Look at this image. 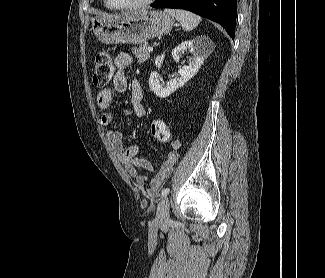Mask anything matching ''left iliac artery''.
<instances>
[{
  "label": "left iliac artery",
  "mask_w": 325,
  "mask_h": 278,
  "mask_svg": "<svg viewBox=\"0 0 325 278\" xmlns=\"http://www.w3.org/2000/svg\"><path fill=\"white\" fill-rule=\"evenodd\" d=\"M170 189L169 188H164L161 192V197L166 196L169 193Z\"/></svg>",
  "instance_id": "44dca946"
}]
</instances>
